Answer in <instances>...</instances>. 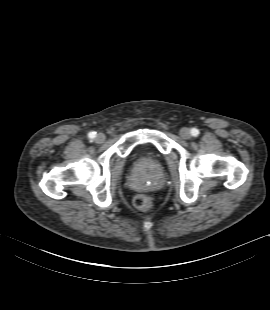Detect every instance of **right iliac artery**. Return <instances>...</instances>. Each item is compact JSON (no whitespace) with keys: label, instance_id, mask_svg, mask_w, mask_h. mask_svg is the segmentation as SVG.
<instances>
[{"label":"right iliac artery","instance_id":"right-iliac-artery-1","mask_svg":"<svg viewBox=\"0 0 270 310\" xmlns=\"http://www.w3.org/2000/svg\"><path fill=\"white\" fill-rule=\"evenodd\" d=\"M95 136H96V132H90L88 134V137L91 138V139H93Z\"/></svg>","mask_w":270,"mask_h":310}]
</instances>
